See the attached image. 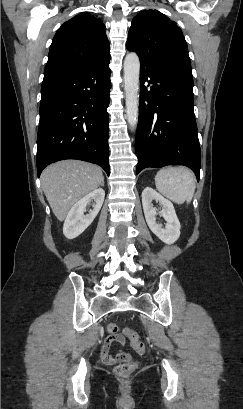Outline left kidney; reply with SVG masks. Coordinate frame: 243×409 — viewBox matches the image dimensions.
Here are the masks:
<instances>
[{
	"label": "left kidney",
	"instance_id": "left-kidney-1",
	"mask_svg": "<svg viewBox=\"0 0 243 409\" xmlns=\"http://www.w3.org/2000/svg\"><path fill=\"white\" fill-rule=\"evenodd\" d=\"M159 202L162 210L159 214L165 219L163 227L156 222L157 209L153 207L152 201ZM142 205L146 222L150 230L164 243L173 244L180 237V222L177 218L173 204L150 187L142 192Z\"/></svg>",
	"mask_w": 243,
	"mask_h": 409
}]
</instances>
